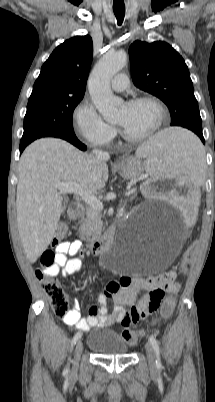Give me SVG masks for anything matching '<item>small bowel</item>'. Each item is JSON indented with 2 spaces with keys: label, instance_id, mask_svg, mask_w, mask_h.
I'll return each instance as SVG.
<instances>
[{
  "label": "small bowel",
  "instance_id": "c3829d8e",
  "mask_svg": "<svg viewBox=\"0 0 215 402\" xmlns=\"http://www.w3.org/2000/svg\"><path fill=\"white\" fill-rule=\"evenodd\" d=\"M82 250L80 241L62 242L56 246L55 264L46 269L45 273L63 277L72 275L82 268V262L74 257ZM67 256H72L68 259ZM180 283L175 280V274L167 279L163 277H128L124 276L119 280L109 282L105 289L98 295V306H91L86 318L80 314V302L75 299L72 308L63 316V321L81 331H88L92 327H109L116 323L123 326L135 324L139 319L145 318L150 312L148 307L151 303L153 293L160 291L177 292ZM142 293L140 298L139 295ZM114 302L112 314H108V301ZM129 307V309H126ZM137 311L135 316L133 311Z\"/></svg>",
  "mask_w": 215,
  "mask_h": 402
}]
</instances>
